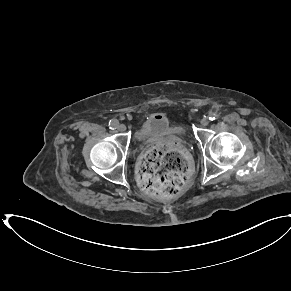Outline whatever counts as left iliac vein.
Here are the masks:
<instances>
[{"mask_svg":"<svg viewBox=\"0 0 291 291\" xmlns=\"http://www.w3.org/2000/svg\"><path fill=\"white\" fill-rule=\"evenodd\" d=\"M200 123H201L202 126H207L208 123H209V119H208L207 117H205V118H203V119L201 120Z\"/></svg>","mask_w":291,"mask_h":291,"instance_id":"1","label":"left iliac vein"}]
</instances>
